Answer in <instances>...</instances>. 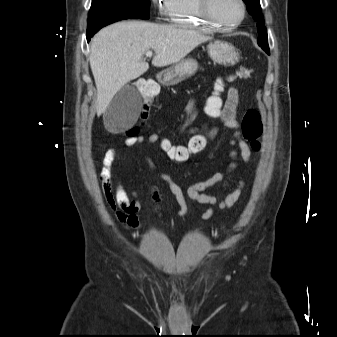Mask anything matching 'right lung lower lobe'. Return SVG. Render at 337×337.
<instances>
[{
	"mask_svg": "<svg viewBox=\"0 0 337 337\" xmlns=\"http://www.w3.org/2000/svg\"><path fill=\"white\" fill-rule=\"evenodd\" d=\"M122 19H128L126 17H116V18H105V19H101L98 20L94 23H91L88 25V29H87V41H90V38L97 32L99 31L102 27L109 25L113 22L122 20Z\"/></svg>",
	"mask_w": 337,
	"mask_h": 337,
	"instance_id": "98d812e1",
	"label": "right lung lower lobe"
}]
</instances>
